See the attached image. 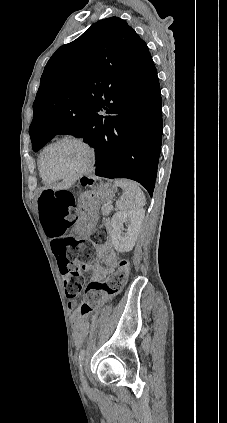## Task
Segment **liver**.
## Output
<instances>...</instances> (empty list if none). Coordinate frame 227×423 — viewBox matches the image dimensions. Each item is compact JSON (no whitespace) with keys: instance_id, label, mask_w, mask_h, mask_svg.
Listing matches in <instances>:
<instances>
[{"instance_id":"obj_1","label":"liver","mask_w":227,"mask_h":423,"mask_svg":"<svg viewBox=\"0 0 227 423\" xmlns=\"http://www.w3.org/2000/svg\"><path fill=\"white\" fill-rule=\"evenodd\" d=\"M52 190H68L71 188V184H67V182H61V184H53V186H49Z\"/></svg>"}]
</instances>
